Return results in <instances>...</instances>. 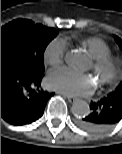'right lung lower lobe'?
Here are the masks:
<instances>
[{
    "mask_svg": "<svg viewBox=\"0 0 122 154\" xmlns=\"http://www.w3.org/2000/svg\"><path fill=\"white\" fill-rule=\"evenodd\" d=\"M42 77L21 60L1 58V117L6 122L25 125L43 115L50 94L41 88Z\"/></svg>",
    "mask_w": 122,
    "mask_h": 154,
    "instance_id": "1",
    "label": "right lung lower lobe"
}]
</instances>
